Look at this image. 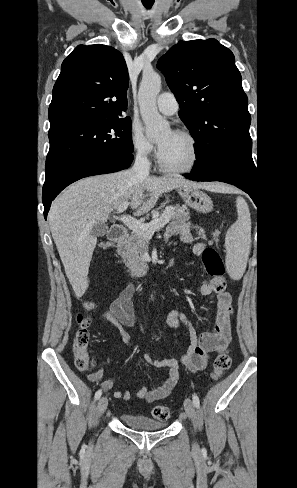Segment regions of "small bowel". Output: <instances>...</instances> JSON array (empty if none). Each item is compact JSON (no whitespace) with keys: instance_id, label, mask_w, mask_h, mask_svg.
Masks as SVG:
<instances>
[{"instance_id":"c3829d8e","label":"small bowel","mask_w":297,"mask_h":488,"mask_svg":"<svg viewBox=\"0 0 297 488\" xmlns=\"http://www.w3.org/2000/svg\"><path fill=\"white\" fill-rule=\"evenodd\" d=\"M174 236H178L183 243H194L195 236L192 232L190 224L172 225L167 228L165 232V239L169 240ZM206 246L202 242H196L193 245V254L203 255ZM135 287L133 284H128L119 293V295L111 302L109 310L104 312L102 317L105 321L114 325L121 335L122 341L129 346L130 336L127 328L132 327L135 322V314L132 303ZM200 292L203 295L216 293L215 311L216 318L213 328L210 331L203 333L199 341H196V333L194 327L191 325L188 317L179 310L174 309L168 314V323L173 328L185 327L191 335L192 342L186 349L180 361L169 358L158 360L151 357L149 354H143V360L151 367L166 368L167 376L162 385L148 389L142 386L136 393V398L153 402L166 398L176 386L179 379V370L183 366L191 372L203 370L209 361L210 354L219 350L222 346L230 341V318L232 314V300L227 292H215L211 281L204 279L200 284ZM107 376L105 369L95 371L88 376L90 382H98ZM116 381L115 377H106L103 382L99 384L100 389L105 392L109 391ZM113 397L116 399H123L128 401L131 399V393L127 389L117 390Z\"/></svg>"}]
</instances>
